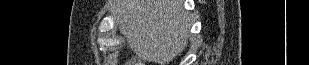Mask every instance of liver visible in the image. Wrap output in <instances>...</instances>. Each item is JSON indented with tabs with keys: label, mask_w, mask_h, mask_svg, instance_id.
<instances>
[{
	"label": "liver",
	"mask_w": 309,
	"mask_h": 65,
	"mask_svg": "<svg viewBox=\"0 0 309 65\" xmlns=\"http://www.w3.org/2000/svg\"><path fill=\"white\" fill-rule=\"evenodd\" d=\"M114 16L130 49L144 60L165 65L187 46L183 0H115Z\"/></svg>",
	"instance_id": "obj_1"
}]
</instances>
